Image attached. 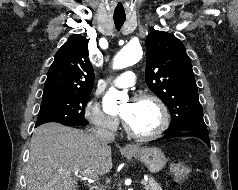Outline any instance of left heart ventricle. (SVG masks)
<instances>
[{"mask_svg": "<svg viewBox=\"0 0 238 190\" xmlns=\"http://www.w3.org/2000/svg\"><path fill=\"white\" fill-rule=\"evenodd\" d=\"M120 114L136 132L154 131L161 122L156 104L150 100H132L123 104Z\"/></svg>", "mask_w": 238, "mask_h": 190, "instance_id": "left-heart-ventricle-1", "label": "left heart ventricle"}]
</instances>
